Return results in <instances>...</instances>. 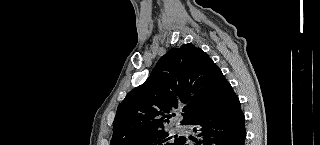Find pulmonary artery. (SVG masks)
Instances as JSON below:
<instances>
[{
	"mask_svg": "<svg viewBox=\"0 0 320 145\" xmlns=\"http://www.w3.org/2000/svg\"><path fill=\"white\" fill-rule=\"evenodd\" d=\"M175 130L176 131H181V132H183L184 131V128L182 127V126H177L176 128H175Z\"/></svg>",
	"mask_w": 320,
	"mask_h": 145,
	"instance_id": "obj_1",
	"label": "pulmonary artery"
}]
</instances>
